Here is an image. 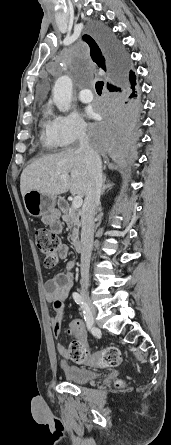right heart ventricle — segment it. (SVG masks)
Masks as SVG:
<instances>
[{"mask_svg":"<svg viewBox=\"0 0 171 445\" xmlns=\"http://www.w3.org/2000/svg\"><path fill=\"white\" fill-rule=\"evenodd\" d=\"M40 140L47 150H56L63 145L55 131L54 122L48 117H44L41 121Z\"/></svg>","mask_w":171,"mask_h":445,"instance_id":"e07e8e85","label":"right heart ventricle"}]
</instances>
